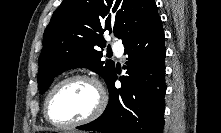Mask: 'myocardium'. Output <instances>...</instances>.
<instances>
[{
    "label": "myocardium",
    "instance_id": "f54148a6",
    "mask_svg": "<svg viewBox=\"0 0 221 133\" xmlns=\"http://www.w3.org/2000/svg\"><path fill=\"white\" fill-rule=\"evenodd\" d=\"M76 80L87 81V82L93 84V86L95 87V89L97 91V95H98L96 106L94 107V109L92 110V112L90 114H88L87 116H85L82 119L68 122V123H59V122L53 121L49 115V110H48L49 100H50L52 94L60 86L66 84L68 82L76 81ZM106 104H107V96H106L105 90H104L101 82L96 77H94L92 75H88V74H73V75H70V76H67V77L61 79L60 81H58L56 84H54L51 87V89L48 91V93L45 97V100H44L43 112H44L45 119L53 126H56L58 128H72V127L85 125V124L90 123V122L94 121L95 119H97L104 112V110L106 108Z\"/></svg>",
    "mask_w": 221,
    "mask_h": 133
}]
</instances>
